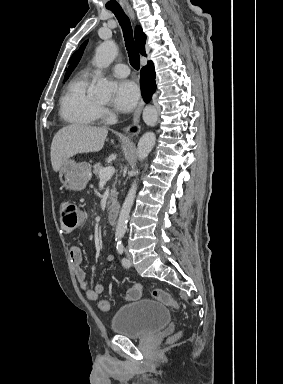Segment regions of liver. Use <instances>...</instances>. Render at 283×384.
I'll list each match as a JSON object with an SVG mask.
<instances>
[{
	"label": "liver",
	"instance_id": "1",
	"mask_svg": "<svg viewBox=\"0 0 283 384\" xmlns=\"http://www.w3.org/2000/svg\"><path fill=\"white\" fill-rule=\"evenodd\" d=\"M108 132L106 128H93L87 124H71L55 134L51 144V162L54 172L61 170L76 154L100 152Z\"/></svg>",
	"mask_w": 283,
	"mask_h": 384
}]
</instances>
